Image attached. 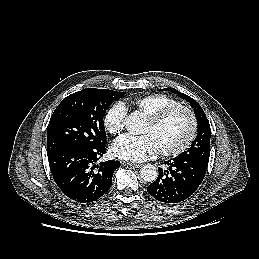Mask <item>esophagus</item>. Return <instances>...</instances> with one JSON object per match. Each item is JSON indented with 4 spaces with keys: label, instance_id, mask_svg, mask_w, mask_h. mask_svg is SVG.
I'll return each mask as SVG.
<instances>
[{
    "label": "esophagus",
    "instance_id": "esophagus-1",
    "mask_svg": "<svg viewBox=\"0 0 259 259\" xmlns=\"http://www.w3.org/2000/svg\"><path fill=\"white\" fill-rule=\"evenodd\" d=\"M123 165L131 166V167H134V168L142 167V164H136V163H130V162H123Z\"/></svg>",
    "mask_w": 259,
    "mask_h": 259
}]
</instances>
